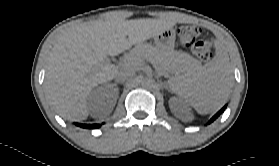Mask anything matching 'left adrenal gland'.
I'll return each instance as SVG.
<instances>
[{"instance_id": "1", "label": "left adrenal gland", "mask_w": 279, "mask_h": 166, "mask_svg": "<svg viewBox=\"0 0 279 166\" xmlns=\"http://www.w3.org/2000/svg\"><path fill=\"white\" fill-rule=\"evenodd\" d=\"M161 84H162V86H163L165 89H168V86H167V83H166V82H162Z\"/></svg>"}]
</instances>
